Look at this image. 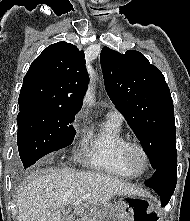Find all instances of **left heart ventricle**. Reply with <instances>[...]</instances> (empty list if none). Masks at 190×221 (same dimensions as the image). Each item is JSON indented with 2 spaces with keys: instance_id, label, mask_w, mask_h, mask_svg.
I'll return each mask as SVG.
<instances>
[{
  "instance_id": "b2bd125f",
  "label": "left heart ventricle",
  "mask_w": 190,
  "mask_h": 221,
  "mask_svg": "<svg viewBox=\"0 0 190 221\" xmlns=\"http://www.w3.org/2000/svg\"><path fill=\"white\" fill-rule=\"evenodd\" d=\"M135 159H136V161H137L139 164H141V163L143 162V156H142V154H141L140 152H136V153H135Z\"/></svg>"
}]
</instances>
